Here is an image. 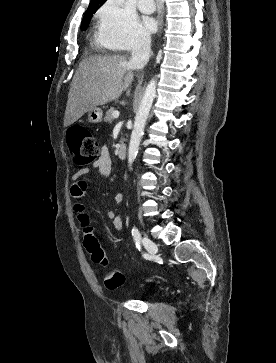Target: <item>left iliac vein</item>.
I'll use <instances>...</instances> for the list:
<instances>
[{"label": "left iliac vein", "instance_id": "obj_1", "mask_svg": "<svg viewBox=\"0 0 276 363\" xmlns=\"http://www.w3.org/2000/svg\"><path fill=\"white\" fill-rule=\"evenodd\" d=\"M142 243H143L144 247L147 249V251L151 255H155L157 253V246H156V244L153 241H151L149 238L144 237L142 239Z\"/></svg>", "mask_w": 276, "mask_h": 363}]
</instances>
